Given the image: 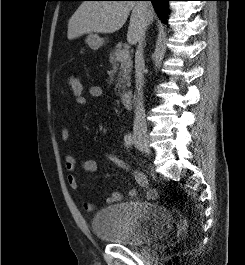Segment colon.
Segmentation results:
<instances>
[{
	"label": "colon",
	"mask_w": 245,
	"mask_h": 265,
	"mask_svg": "<svg viewBox=\"0 0 245 265\" xmlns=\"http://www.w3.org/2000/svg\"><path fill=\"white\" fill-rule=\"evenodd\" d=\"M69 88L72 95L75 98L76 103H82L86 100V95L84 91V86L80 78L76 76H71L68 80ZM105 158L116 166L127 169L126 164L118 156L113 153L105 154Z\"/></svg>",
	"instance_id": "obj_1"
}]
</instances>
